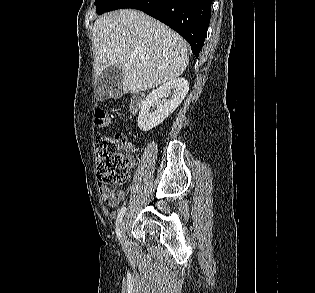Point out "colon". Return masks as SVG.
Returning <instances> with one entry per match:
<instances>
[{
  "mask_svg": "<svg viewBox=\"0 0 315 293\" xmlns=\"http://www.w3.org/2000/svg\"><path fill=\"white\" fill-rule=\"evenodd\" d=\"M113 115L98 109L94 115V124L98 128L107 126ZM129 142L122 135L99 136L95 141V156L100 183L112 186L127 182L130 174Z\"/></svg>",
  "mask_w": 315,
  "mask_h": 293,
  "instance_id": "obj_1",
  "label": "colon"
}]
</instances>
